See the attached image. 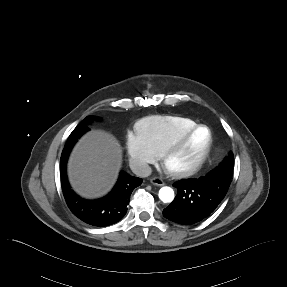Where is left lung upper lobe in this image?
Listing matches in <instances>:
<instances>
[{
	"instance_id": "5c2ea615",
	"label": "left lung upper lobe",
	"mask_w": 287,
	"mask_h": 287,
	"mask_svg": "<svg viewBox=\"0 0 287 287\" xmlns=\"http://www.w3.org/2000/svg\"><path fill=\"white\" fill-rule=\"evenodd\" d=\"M233 154L232 152H230V154L223 160V162L216 167V169H223L225 170V174H227L229 176V178L231 179V175H232V169H233Z\"/></svg>"
}]
</instances>
